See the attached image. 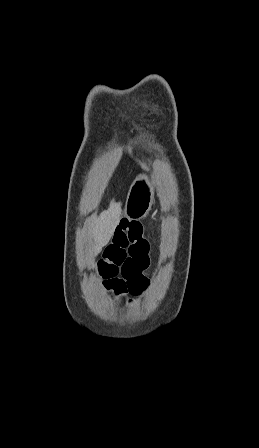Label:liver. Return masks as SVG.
I'll list each match as a JSON object with an SVG mask.
<instances>
[{
  "mask_svg": "<svg viewBox=\"0 0 259 448\" xmlns=\"http://www.w3.org/2000/svg\"><path fill=\"white\" fill-rule=\"evenodd\" d=\"M121 212L120 202L118 204L111 202L108 210H104L96 220H93L88 234L90 238H93L95 256L100 254L102 248L107 246L111 240L115 228L120 222Z\"/></svg>",
  "mask_w": 259,
  "mask_h": 448,
  "instance_id": "obj_1",
  "label": "liver"
}]
</instances>
